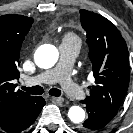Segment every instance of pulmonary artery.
I'll return each instance as SVG.
<instances>
[{
    "mask_svg": "<svg viewBox=\"0 0 133 133\" xmlns=\"http://www.w3.org/2000/svg\"><path fill=\"white\" fill-rule=\"evenodd\" d=\"M79 52V46L62 44L60 46V59L58 64L45 72L25 80L26 85L53 84L59 82L66 94L72 99H82L84 91L73 82L70 70Z\"/></svg>",
    "mask_w": 133,
    "mask_h": 133,
    "instance_id": "1",
    "label": "pulmonary artery"
}]
</instances>
